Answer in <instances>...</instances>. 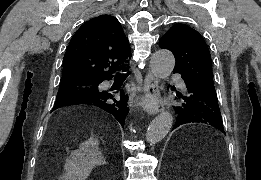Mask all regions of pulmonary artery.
Listing matches in <instances>:
<instances>
[{"label":"pulmonary artery","instance_id":"obj_1","mask_svg":"<svg viewBox=\"0 0 261 180\" xmlns=\"http://www.w3.org/2000/svg\"><path fill=\"white\" fill-rule=\"evenodd\" d=\"M167 77H178V72H167ZM167 83H180L181 79L180 78H167L166 79Z\"/></svg>","mask_w":261,"mask_h":180}]
</instances>
